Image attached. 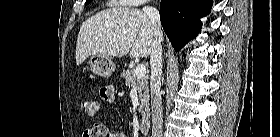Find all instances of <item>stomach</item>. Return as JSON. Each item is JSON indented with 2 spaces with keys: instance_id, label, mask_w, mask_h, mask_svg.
<instances>
[{
  "instance_id": "obj_1",
  "label": "stomach",
  "mask_w": 280,
  "mask_h": 137,
  "mask_svg": "<svg viewBox=\"0 0 280 137\" xmlns=\"http://www.w3.org/2000/svg\"><path fill=\"white\" fill-rule=\"evenodd\" d=\"M89 65L91 71L100 77H110L115 71V64L111 57L92 55Z\"/></svg>"
}]
</instances>
